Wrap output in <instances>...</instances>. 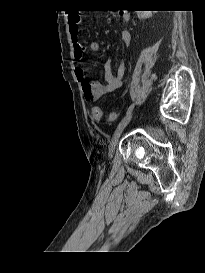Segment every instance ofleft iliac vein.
Here are the masks:
<instances>
[{
  "mask_svg": "<svg viewBox=\"0 0 205 273\" xmlns=\"http://www.w3.org/2000/svg\"><path fill=\"white\" fill-rule=\"evenodd\" d=\"M133 116V112L127 114L119 123V125L117 126L114 135L110 141L109 147H108V156L109 158H112L114 152H115V146L118 142V139L122 133V131L124 130V128L127 126V124L130 122L131 118Z\"/></svg>",
  "mask_w": 205,
  "mask_h": 273,
  "instance_id": "obj_1",
  "label": "left iliac vein"
}]
</instances>
